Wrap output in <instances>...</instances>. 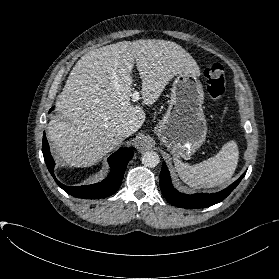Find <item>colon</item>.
Segmentation results:
<instances>
[{
    "label": "colon",
    "mask_w": 279,
    "mask_h": 279,
    "mask_svg": "<svg viewBox=\"0 0 279 279\" xmlns=\"http://www.w3.org/2000/svg\"><path fill=\"white\" fill-rule=\"evenodd\" d=\"M207 91L214 102L221 100L225 91V70L219 63H212L204 70Z\"/></svg>",
    "instance_id": "obj_1"
}]
</instances>
